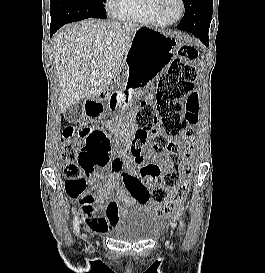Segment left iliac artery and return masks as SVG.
<instances>
[{"label":"left iliac artery","mask_w":265,"mask_h":273,"mask_svg":"<svg viewBox=\"0 0 265 273\" xmlns=\"http://www.w3.org/2000/svg\"><path fill=\"white\" fill-rule=\"evenodd\" d=\"M183 227V221H182V219L180 220V228H182Z\"/></svg>","instance_id":"44dca946"}]
</instances>
